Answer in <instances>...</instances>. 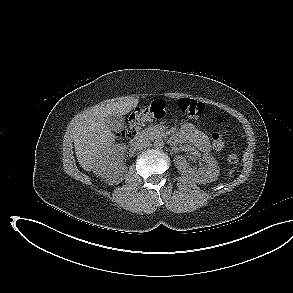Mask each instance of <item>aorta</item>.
I'll use <instances>...</instances> for the list:
<instances>
[{
    "label": "aorta",
    "instance_id": "obj_1",
    "mask_svg": "<svg viewBox=\"0 0 293 293\" xmlns=\"http://www.w3.org/2000/svg\"><path fill=\"white\" fill-rule=\"evenodd\" d=\"M154 147L156 149H162L164 147V141L162 139H157L154 141Z\"/></svg>",
    "mask_w": 293,
    "mask_h": 293
}]
</instances>
